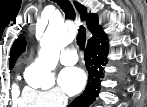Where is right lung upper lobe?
<instances>
[{
    "instance_id": "right-lung-upper-lobe-1",
    "label": "right lung upper lobe",
    "mask_w": 147,
    "mask_h": 107,
    "mask_svg": "<svg viewBox=\"0 0 147 107\" xmlns=\"http://www.w3.org/2000/svg\"><path fill=\"white\" fill-rule=\"evenodd\" d=\"M74 5L77 9V11L80 13L81 18L86 20L88 29L92 33V38L88 40L90 41H96L98 39L103 38L106 34L103 31V28L98 24L97 16L95 14H87V9L83 5H81L78 2H74ZM25 39L23 36H19L11 49L10 52V66H14L17 58L20 56L21 52L25 49Z\"/></svg>"
}]
</instances>
